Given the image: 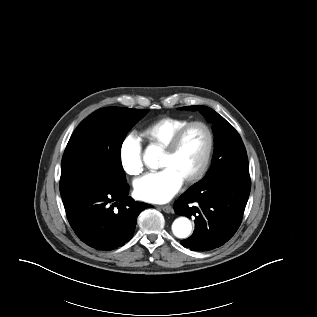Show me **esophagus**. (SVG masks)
Segmentation results:
<instances>
[{
  "instance_id": "1",
  "label": "esophagus",
  "mask_w": 317,
  "mask_h": 317,
  "mask_svg": "<svg viewBox=\"0 0 317 317\" xmlns=\"http://www.w3.org/2000/svg\"><path fill=\"white\" fill-rule=\"evenodd\" d=\"M161 209L166 212V213H172L173 212V208L171 205H164L161 206Z\"/></svg>"
}]
</instances>
